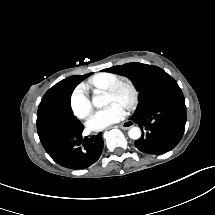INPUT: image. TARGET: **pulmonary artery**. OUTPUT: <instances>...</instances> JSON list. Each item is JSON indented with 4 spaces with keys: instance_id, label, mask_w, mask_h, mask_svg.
<instances>
[{
    "instance_id": "1",
    "label": "pulmonary artery",
    "mask_w": 215,
    "mask_h": 215,
    "mask_svg": "<svg viewBox=\"0 0 215 215\" xmlns=\"http://www.w3.org/2000/svg\"><path fill=\"white\" fill-rule=\"evenodd\" d=\"M115 79L113 75L106 73V74H99L93 77L91 84L93 88L100 90L104 88H109L113 86Z\"/></svg>"
}]
</instances>
